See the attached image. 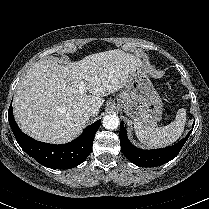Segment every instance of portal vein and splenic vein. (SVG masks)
Masks as SVG:
<instances>
[{
  "mask_svg": "<svg viewBox=\"0 0 209 209\" xmlns=\"http://www.w3.org/2000/svg\"><path fill=\"white\" fill-rule=\"evenodd\" d=\"M79 90L83 93L85 91V84L83 82L80 83Z\"/></svg>",
  "mask_w": 209,
  "mask_h": 209,
  "instance_id": "1",
  "label": "portal vein and splenic vein"
}]
</instances>
